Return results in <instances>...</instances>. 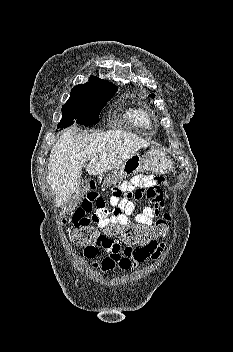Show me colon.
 Listing matches in <instances>:
<instances>
[{"mask_svg":"<svg viewBox=\"0 0 233 352\" xmlns=\"http://www.w3.org/2000/svg\"><path fill=\"white\" fill-rule=\"evenodd\" d=\"M170 220V215L165 214L162 218L156 220L149 226H112L104 232H101L99 228L92 225L91 222H86L75 229L71 235V241L75 245L86 248L105 242L109 238L118 237L128 246L147 245L167 234Z\"/></svg>","mask_w":233,"mask_h":352,"instance_id":"colon-1","label":"colon"}]
</instances>
